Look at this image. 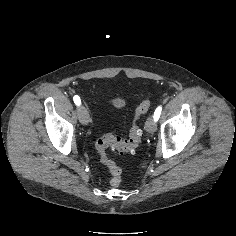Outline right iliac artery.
<instances>
[{
  "label": "right iliac artery",
  "instance_id": "right-iliac-artery-1",
  "mask_svg": "<svg viewBox=\"0 0 236 236\" xmlns=\"http://www.w3.org/2000/svg\"><path fill=\"white\" fill-rule=\"evenodd\" d=\"M73 100H74V103H75L76 105H78V106L80 105L81 100H80L79 96L75 95L74 98H73Z\"/></svg>",
  "mask_w": 236,
  "mask_h": 236
}]
</instances>
